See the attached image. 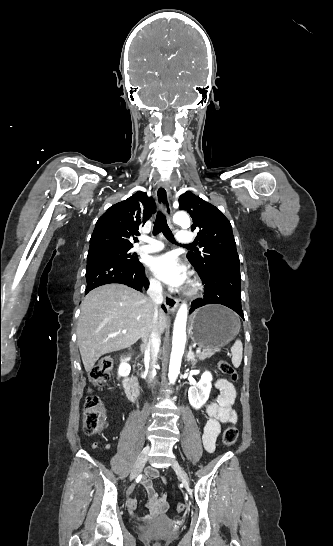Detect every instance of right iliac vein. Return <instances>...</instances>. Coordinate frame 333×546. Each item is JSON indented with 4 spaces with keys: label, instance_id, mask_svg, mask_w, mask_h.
I'll return each instance as SVG.
<instances>
[{
    "label": "right iliac vein",
    "instance_id": "obj_1",
    "mask_svg": "<svg viewBox=\"0 0 333 546\" xmlns=\"http://www.w3.org/2000/svg\"><path fill=\"white\" fill-rule=\"evenodd\" d=\"M149 452H150V446H146L139 454L131 472L132 478L136 477L139 474V472L143 469L147 461Z\"/></svg>",
    "mask_w": 333,
    "mask_h": 546
}]
</instances>
